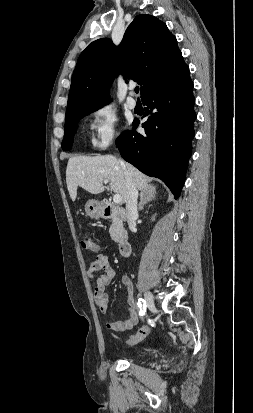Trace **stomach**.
<instances>
[{
    "instance_id": "0dacf381",
    "label": "stomach",
    "mask_w": 253,
    "mask_h": 413,
    "mask_svg": "<svg viewBox=\"0 0 253 413\" xmlns=\"http://www.w3.org/2000/svg\"><path fill=\"white\" fill-rule=\"evenodd\" d=\"M103 206L96 200H89L85 205V212L92 218H98L103 215Z\"/></svg>"
}]
</instances>
